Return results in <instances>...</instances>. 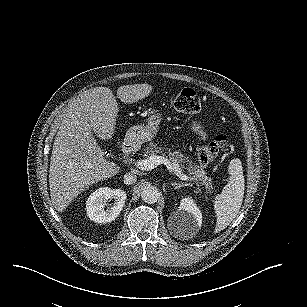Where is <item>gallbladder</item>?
<instances>
[{
    "instance_id": "obj_1",
    "label": "gallbladder",
    "mask_w": 307,
    "mask_h": 307,
    "mask_svg": "<svg viewBox=\"0 0 307 307\" xmlns=\"http://www.w3.org/2000/svg\"><path fill=\"white\" fill-rule=\"evenodd\" d=\"M104 154H105L106 156H109V153H108V151H105V152H104Z\"/></svg>"
}]
</instances>
